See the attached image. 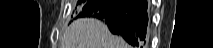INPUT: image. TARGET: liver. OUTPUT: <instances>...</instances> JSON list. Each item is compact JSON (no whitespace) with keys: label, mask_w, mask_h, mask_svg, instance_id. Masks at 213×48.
Masks as SVG:
<instances>
[{"label":"liver","mask_w":213,"mask_h":48,"mask_svg":"<svg viewBox=\"0 0 213 48\" xmlns=\"http://www.w3.org/2000/svg\"><path fill=\"white\" fill-rule=\"evenodd\" d=\"M61 48H129V45L121 37L112 35L101 21L81 18L65 29Z\"/></svg>","instance_id":"6515ba94"}]
</instances>
